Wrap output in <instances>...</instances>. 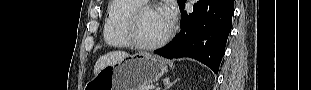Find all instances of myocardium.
Instances as JSON below:
<instances>
[{
  "label": "myocardium",
  "instance_id": "obj_1",
  "mask_svg": "<svg viewBox=\"0 0 311 90\" xmlns=\"http://www.w3.org/2000/svg\"><path fill=\"white\" fill-rule=\"evenodd\" d=\"M158 7L151 4H143L138 8L134 9L132 13L129 15L126 23V31L128 35V39L131 43V46L140 49V50H153L163 46L172 36L174 32V26L171 25L167 33L153 43H146L141 40L139 35V24L142 15L149 10H157Z\"/></svg>",
  "mask_w": 311,
  "mask_h": 90
}]
</instances>
